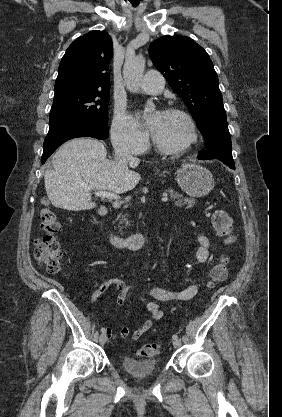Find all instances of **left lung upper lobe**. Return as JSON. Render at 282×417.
<instances>
[{
    "instance_id": "left-lung-upper-lobe-1",
    "label": "left lung upper lobe",
    "mask_w": 282,
    "mask_h": 417,
    "mask_svg": "<svg viewBox=\"0 0 282 417\" xmlns=\"http://www.w3.org/2000/svg\"><path fill=\"white\" fill-rule=\"evenodd\" d=\"M149 55L183 98L201 133L214 120L226 118L217 74L200 45L186 36H164L151 43Z\"/></svg>"
}]
</instances>
